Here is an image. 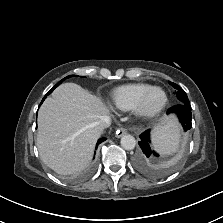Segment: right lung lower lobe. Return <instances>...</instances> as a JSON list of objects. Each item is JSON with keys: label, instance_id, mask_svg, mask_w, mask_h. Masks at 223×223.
<instances>
[{"label": "right lung lower lobe", "instance_id": "obj_1", "mask_svg": "<svg viewBox=\"0 0 223 223\" xmlns=\"http://www.w3.org/2000/svg\"><path fill=\"white\" fill-rule=\"evenodd\" d=\"M45 98H46V96L43 98L42 102L44 101ZM42 102H41V103H42ZM103 141H105V138H101V139H99L97 145H99V144H100L101 142H103Z\"/></svg>", "mask_w": 223, "mask_h": 223}]
</instances>
